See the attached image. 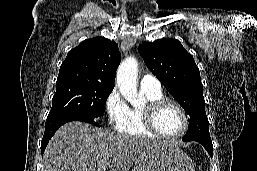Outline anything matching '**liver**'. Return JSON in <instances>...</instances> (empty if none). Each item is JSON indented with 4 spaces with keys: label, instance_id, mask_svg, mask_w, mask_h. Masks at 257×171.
I'll use <instances>...</instances> for the list:
<instances>
[{
    "label": "liver",
    "instance_id": "obj_1",
    "mask_svg": "<svg viewBox=\"0 0 257 171\" xmlns=\"http://www.w3.org/2000/svg\"><path fill=\"white\" fill-rule=\"evenodd\" d=\"M174 142L116 134L84 122H69L52 137L43 156L44 171H129L147 147Z\"/></svg>",
    "mask_w": 257,
    "mask_h": 171
}]
</instances>
